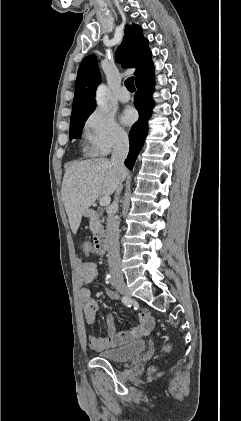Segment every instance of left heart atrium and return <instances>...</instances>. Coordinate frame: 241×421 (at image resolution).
<instances>
[{"mask_svg":"<svg viewBox=\"0 0 241 421\" xmlns=\"http://www.w3.org/2000/svg\"><path fill=\"white\" fill-rule=\"evenodd\" d=\"M136 117L137 115L135 110L128 107L123 111L121 115V120L124 124L131 125L136 120Z\"/></svg>","mask_w":241,"mask_h":421,"instance_id":"39dd6f15","label":"left heart atrium"}]
</instances>
